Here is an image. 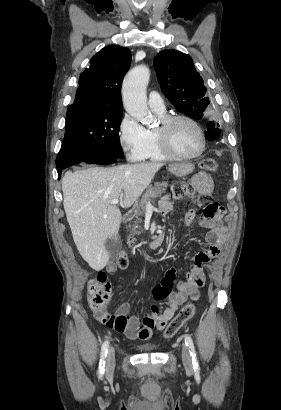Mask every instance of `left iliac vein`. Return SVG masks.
Listing matches in <instances>:
<instances>
[{
	"label": "left iliac vein",
	"instance_id": "obj_1",
	"mask_svg": "<svg viewBox=\"0 0 281 410\" xmlns=\"http://www.w3.org/2000/svg\"><path fill=\"white\" fill-rule=\"evenodd\" d=\"M182 361L187 370L193 369L192 359L189 352V348L186 345H182Z\"/></svg>",
	"mask_w": 281,
	"mask_h": 410
}]
</instances>
